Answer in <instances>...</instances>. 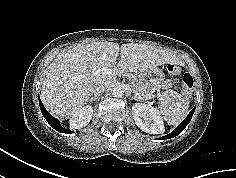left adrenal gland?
I'll list each match as a JSON object with an SVG mask.
<instances>
[{
    "mask_svg": "<svg viewBox=\"0 0 236 178\" xmlns=\"http://www.w3.org/2000/svg\"><path fill=\"white\" fill-rule=\"evenodd\" d=\"M131 98L134 99L135 101H141L139 98H137V97L134 96V95H131Z\"/></svg>",
    "mask_w": 236,
    "mask_h": 178,
    "instance_id": "left-adrenal-gland-1",
    "label": "left adrenal gland"
}]
</instances>
